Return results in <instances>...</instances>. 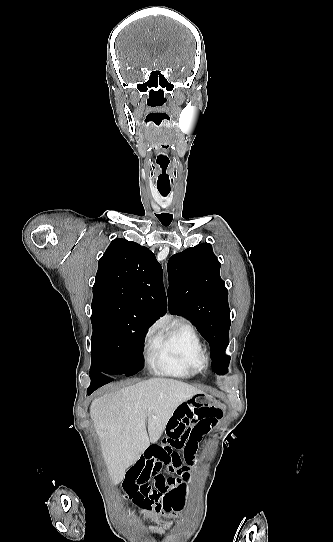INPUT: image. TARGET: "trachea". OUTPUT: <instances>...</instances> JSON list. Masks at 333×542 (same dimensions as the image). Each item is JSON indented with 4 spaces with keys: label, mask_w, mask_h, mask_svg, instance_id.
Returning a JSON list of instances; mask_svg holds the SVG:
<instances>
[{
    "label": "trachea",
    "mask_w": 333,
    "mask_h": 542,
    "mask_svg": "<svg viewBox=\"0 0 333 542\" xmlns=\"http://www.w3.org/2000/svg\"><path fill=\"white\" fill-rule=\"evenodd\" d=\"M158 190L163 197H167L168 193L170 192V190H166V189H158Z\"/></svg>",
    "instance_id": "obj_1"
}]
</instances>
